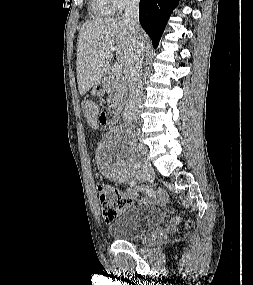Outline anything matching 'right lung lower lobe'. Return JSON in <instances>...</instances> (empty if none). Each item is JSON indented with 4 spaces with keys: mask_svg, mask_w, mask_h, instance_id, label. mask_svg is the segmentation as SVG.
I'll list each match as a JSON object with an SVG mask.
<instances>
[{
    "mask_svg": "<svg viewBox=\"0 0 253 285\" xmlns=\"http://www.w3.org/2000/svg\"><path fill=\"white\" fill-rule=\"evenodd\" d=\"M179 0H140L139 20L156 48L172 10Z\"/></svg>",
    "mask_w": 253,
    "mask_h": 285,
    "instance_id": "right-lung-lower-lobe-1",
    "label": "right lung lower lobe"
}]
</instances>
